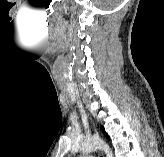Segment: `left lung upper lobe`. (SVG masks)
Listing matches in <instances>:
<instances>
[{"label": "left lung upper lobe", "instance_id": "1", "mask_svg": "<svg viewBox=\"0 0 164 157\" xmlns=\"http://www.w3.org/2000/svg\"><path fill=\"white\" fill-rule=\"evenodd\" d=\"M102 130H103L104 134L106 135V137L109 138V136L106 134V132H105V130H104V127H102Z\"/></svg>", "mask_w": 164, "mask_h": 157}]
</instances>
